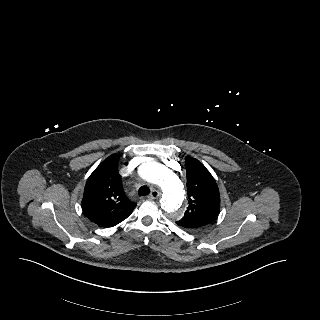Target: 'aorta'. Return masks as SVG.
Segmentation results:
<instances>
[{
  "label": "aorta",
  "instance_id": "obj_1",
  "mask_svg": "<svg viewBox=\"0 0 320 320\" xmlns=\"http://www.w3.org/2000/svg\"><path fill=\"white\" fill-rule=\"evenodd\" d=\"M138 174L144 180L162 189V208L170 217H182L184 190L183 184L175 172L161 163L149 160L140 165Z\"/></svg>",
  "mask_w": 320,
  "mask_h": 320
}]
</instances>
